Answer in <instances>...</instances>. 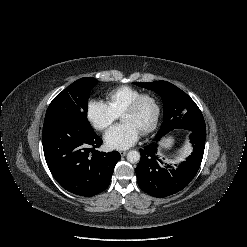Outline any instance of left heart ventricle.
Returning <instances> with one entry per match:
<instances>
[{
	"mask_svg": "<svg viewBox=\"0 0 247 247\" xmlns=\"http://www.w3.org/2000/svg\"><path fill=\"white\" fill-rule=\"evenodd\" d=\"M154 115V103L151 99H146L142 102L136 111L123 113L121 115V120L123 122H130L134 124L139 129V131H142L151 124Z\"/></svg>",
	"mask_w": 247,
	"mask_h": 247,
	"instance_id": "1",
	"label": "left heart ventricle"
}]
</instances>
